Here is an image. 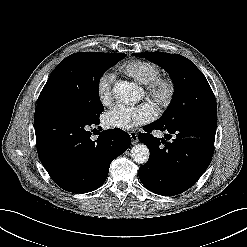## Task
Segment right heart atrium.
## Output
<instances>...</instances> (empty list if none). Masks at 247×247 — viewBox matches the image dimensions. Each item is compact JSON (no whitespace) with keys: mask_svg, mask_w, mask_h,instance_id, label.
Masks as SVG:
<instances>
[{"mask_svg":"<svg viewBox=\"0 0 247 247\" xmlns=\"http://www.w3.org/2000/svg\"><path fill=\"white\" fill-rule=\"evenodd\" d=\"M114 82V76L112 73H102L96 81V93L99 101L103 105H109L113 100L112 86Z\"/></svg>","mask_w":247,"mask_h":247,"instance_id":"right-heart-atrium-1","label":"right heart atrium"}]
</instances>
